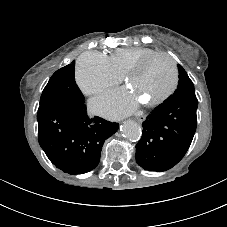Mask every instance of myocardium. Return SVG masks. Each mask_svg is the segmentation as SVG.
<instances>
[{"label":"myocardium","instance_id":"myocardium-1","mask_svg":"<svg viewBox=\"0 0 227 227\" xmlns=\"http://www.w3.org/2000/svg\"><path fill=\"white\" fill-rule=\"evenodd\" d=\"M160 56L167 58L171 62L173 68V81L169 89L165 91L162 95L158 96L155 99L144 102V105L149 107L161 104L175 92L179 83V69L174 58L166 52L156 51L141 58L138 62L132 65L124 74V81L129 83L130 79L137 72L141 71L152 59Z\"/></svg>","mask_w":227,"mask_h":227}]
</instances>
